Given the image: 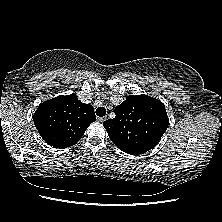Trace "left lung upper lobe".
Returning <instances> with one entry per match:
<instances>
[{"instance_id": "1", "label": "left lung upper lobe", "mask_w": 222, "mask_h": 222, "mask_svg": "<svg viewBox=\"0 0 222 222\" xmlns=\"http://www.w3.org/2000/svg\"><path fill=\"white\" fill-rule=\"evenodd\" d=\"M115 118L103 123L110 140L120 150L155 147L168 128L165 106L156 98L129 95L115 108Z\"/></svg>"}]
</instances>
